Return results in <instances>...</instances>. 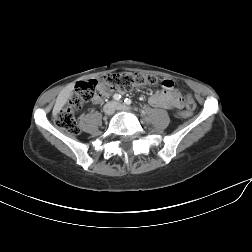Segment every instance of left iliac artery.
I'll list each match as a JSON object with an SVG mask.
<instances>
[{
  "mask_svg": "<svg viewBox=\"0 0 252 252\" xmlns=\"http://www.w3.org/2000/svg\"><path fill=\"white\" fill-rule=\"evenodd\" d=\"M124 102H125L127 105H130V104L132 103L131 99H129V98H126V99L124 100ZM144 119H145L147 122H149V119H148L146 116L144 117Z\"/></svg>",
  "mask_w": 252,
  "mask_h": 252,
  "instance_id": "1",
  "label": "left iliac artery"
}]
</instances>
